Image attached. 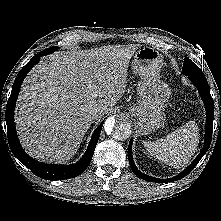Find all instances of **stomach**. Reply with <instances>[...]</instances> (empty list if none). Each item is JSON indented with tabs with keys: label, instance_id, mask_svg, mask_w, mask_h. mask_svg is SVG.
I'll return each mask as SVG.
<instances>
[{
	"label": "stomach",
	"instance_id": "0dacf381",
	"mask_svg": "<svg viewBox=\"0 0 221 221\" xmlns=\"http://www.w3.org/2000/svg\"><path fill=\"white\" fill-rule=\"evenodd\" d=\"M163 64L162 54L152 47L139 49L132 61V68L141 80L137 85L139 99L130 108V113L136 119L138 131L145 135L160 128L166 119L165 103L171 89L160 81Z\"/></svg>",
	"mask_w": 221,
	"mask_h": 221
}]
</instances>
